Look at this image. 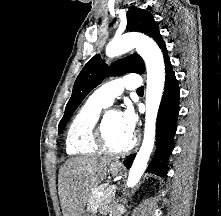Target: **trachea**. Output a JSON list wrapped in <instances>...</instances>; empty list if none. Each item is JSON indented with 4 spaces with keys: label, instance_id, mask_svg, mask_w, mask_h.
<instances>
[{
    "label": "trachea",
    "instance_id": "obj_1",
    "mask_svg": "<svg viewBox=\"0 0 221 216\" xmlns=\"http://www.w3.org/2000/svg\"><path fill=\"white\" fill-rule=\"evenodd\" d=\"M137 92H138V93L144 92V87L142 86V87L138 88Z\"/></svg>",
    "mask_w": 221,
    "mask_h": 216
}]
</instances>
